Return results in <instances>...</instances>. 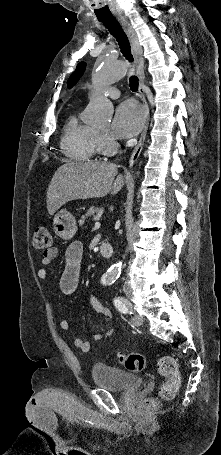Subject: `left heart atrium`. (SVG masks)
Returning a JSON list of instances; mask_svg holds the SVG:
<instances>
[{"instance_id":"39dd6f15","label":"left heart atrium","mask_w":221,"mask_h":455,"mask_svg":"<svg viewBox=\"0 0 221 455\" xmlns=\"http://www.w3.org/2000/svg\"><path fill=\"white\" fill-rule=\"evenodd\" d=\"M144 114L142 109L133 101L120 104L114 113L111 135L123 139L136 135L142 128Z\"/></svg>"}]
</instances>
